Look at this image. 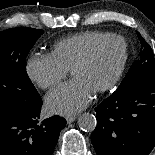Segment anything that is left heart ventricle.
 Here are the masks:
<instances>
[{
    "mask_svg": "<svg viewBox=\"0 0 155 155\" xmlns=\"http://www.w3.org/2000/svg\"><path fill=\"white\" fill-rule=\"evenodd\" d=\"M122 59V42L110 40L100 46L87 65L74 71L71 76L95 93L115 76Z\"/></svg>",
    "mask_w": 155,
    "mask_h": 155,
    "instance_id": "b2bd125f",
    "label": "left heart ventricle"
}]
</instances>
